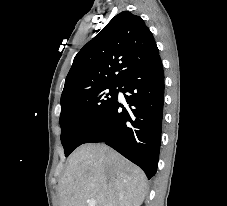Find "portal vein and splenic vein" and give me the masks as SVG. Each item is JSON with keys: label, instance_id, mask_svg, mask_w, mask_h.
Segmentation results:
<instances>
[{"label": "portal vein and splenic vein", "instance_id": "obj_1", "mask_svg": "<svg viewBox=\"0 0 227 206\" xmlns=\"http://www.w3.org/2000/svg\"><path fill=\"white\" fill-rule=\"evenodd\" d=\"M88 206H96V201L95 200H88Z\"/></svg>", "mask_w": 227, "mask_h": 206}]
</instances>
